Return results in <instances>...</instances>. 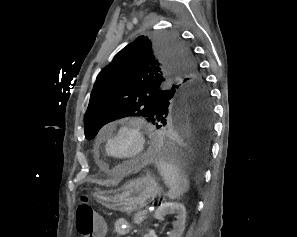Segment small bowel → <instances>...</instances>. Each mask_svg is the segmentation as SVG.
<instances>
[{"mask_svg": "<svg viewBox=\"0 0 297 237\" xmlns=\"http://www.w3.org/2000/svg\"><path fill=\"white\" fill-rule=\"evenodd\" d=\"M114 231L116 234L123 236V237H130L129 232H130V225L125 219H118L114 223ZM106 233V228L100 226L99 229V235L98 237H103L104 234Z\"/></svg>", "mask_w": 297, "mask_h": 237, "instance_id": "small-bowel-1", "label": "small bowel"}]
</instances>
